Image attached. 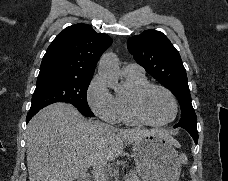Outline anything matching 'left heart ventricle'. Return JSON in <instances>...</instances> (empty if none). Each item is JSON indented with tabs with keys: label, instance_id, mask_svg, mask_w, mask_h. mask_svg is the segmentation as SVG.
Masks as SVG:
<instances>
[{
	"label": "left heart ventricle",
	"instance_id": "1",
	"mask_svg": "<svg viewBox=\"0 0 228 181\" xmlns=\"http://www.w3.org/2000/svg\"><path fill=\"white\" fill-rule=\"evenodd\" d=\"M143 109L147 116L153 115L155 120H164L171 115V104L168 97L157 89L147 95Z\"/></svg>",
	"mask_w": 228,
	"mask_h": 181
}]
</instances>
